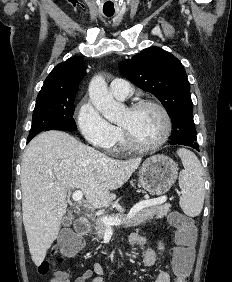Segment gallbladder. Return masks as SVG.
<instances>
[{"label":"gallbladder","mask_w":232,"mask_h":282,"mask_svg":"<svg viewBox=\"0 0 232 282\" xmlns=\"http://www.w3.org/2000/svg\"><path fill=\"white\" fill-rule=\"evenodd\" d=\"M72 222V217H71V214L69 213L68 216H65L63 219H62V223L64 225H69L71 224Z\"/></svg>","instance_id":"1"}]
</instances>
